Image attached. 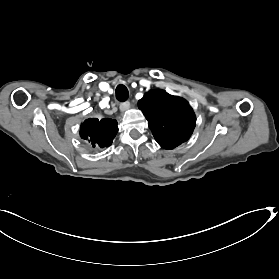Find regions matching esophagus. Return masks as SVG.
<instances>
[{
    "mask_svg": "<svg viewBox=\"0 0 279 279\" xmlns=\"http://www.w3.org/2000/svg\"><path fill=\"white\" fill-rule=\"evenodd\" d=\"M130 107V102L129 101H124L120 104V110L121 111H125L127 109H129Z\"/></svg>",
    "mask_w": 279,
    "mask_h": 279,
    "instance_id": "1",
    "label": "esophagus"
}]
</instances>
